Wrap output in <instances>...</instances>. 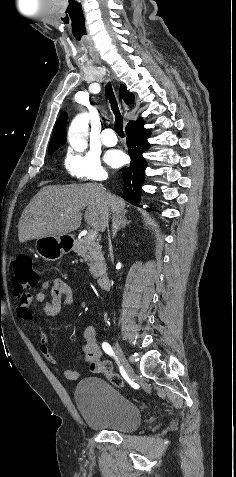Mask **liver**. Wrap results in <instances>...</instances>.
I'll return each mask as SVG.
<instances>
[{"label": "liver", "mask_w": 236, "mask_h": 477, "mask_svg": "<svg viewBox=\"0 0 236 477\" xmlns=\"http://www.w3.org/2000/svg\"><path fill=\"white\" fill-rule=\"evenodd\" d=\"M114 216L125 212L126 202L94 184L43 187L23 210L18 224L21 243L47 236H64L81 225L82 211L88 225L104 231L103 211Z\"/></svg>", "instance_id": "obj_1"}]
</instances>
